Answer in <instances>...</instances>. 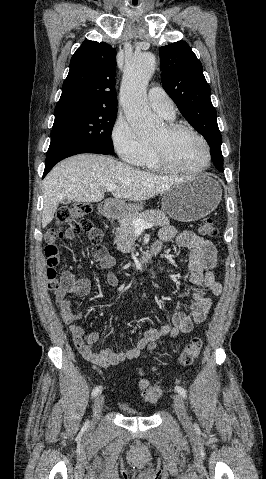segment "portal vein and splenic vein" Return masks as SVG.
<instances>
[{
	"label": "portal vein and splenic vein",
	"mask_w": 266,
	"mask_h": 479,
	"mask_svg": "<svg viewBox=\"0 0 266 479\" xmlns=\"http://www.w3.org/2000/svg\"><path fill=\"white\" fill-rule=\"evenodd\" d=\"M117 188H118V186H116V185H107L106 186V190L109 191V192H114ZM133 226H134L136 231H143L144 229L153 227V224L144 222L140 218H136V219L133 220Z\"/></svg>",
	"instance_id": "portal-vein-and-splenic-vein-1"
}]
</instances>
